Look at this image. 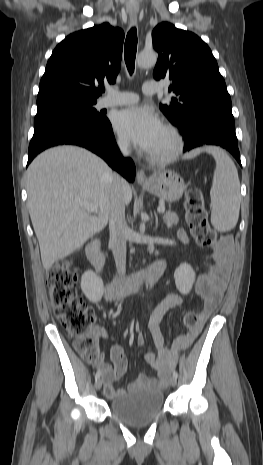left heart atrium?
Wrapping results in <instances>:
<instances>
[{
  "mask_svg": "<svg viewBox=\"0 0 263 465\" xmlns=\"http://www.w3.org/2000/svg\"><path fill=\"white\" fill-rule=\"evenodd\" d=\"M114 127L122 137L146 152L154 148L164 130L159 117L147 107H132L119 112Z\"/></svg>",
  "mask_w": 263,
  "mask_h": 465,
  "instance_id": "1",
  "label": "left heart atrium"
}]
</instances>
